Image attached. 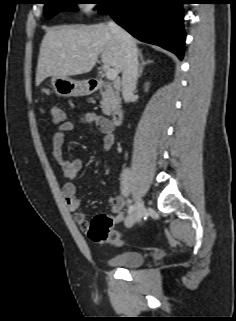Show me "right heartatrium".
<instances>
[{
    "label": "right heart atrium",
    "instance_id": "1",
    "mask_svg": "<svg viewBox=\"0 0 236 321\" xmlns=\"http://www.w3.org/2000/svg\"><path fill=\"white\" fill-rule=\"evenodd\" d=\"M81 10L86 15H91L99 10V6L91 0H87L81 7Z\"/></svg>",
    "mask_w": 236,
    "mask_h": 321
}]
</instances>
